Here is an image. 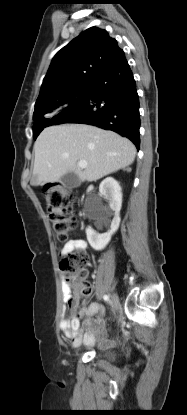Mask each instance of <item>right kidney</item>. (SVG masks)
<instances>
[{"label":"right kidney","instance_id":"right-kidney-1","mask_svg":"<svg viewBox=\"0 0 187 415\" xmlns=\"http://www.w3.org/2000/svg\"><path fill=\"white\" fill-rule=\"evenodd\" d=\"M121 190L119 183L112 177L104 179L99 186L100 195L108 200L110 209L114 211V218L111 222L110 230L106 233L99 234L91 227L86 228L87 240L90 246L97 251L106 247L111 240V236L119 228L121 220L119 212L122 206Z\"/></svg>","mask_w":187,"mask_h":415}]
</instances>
